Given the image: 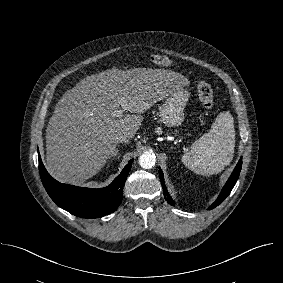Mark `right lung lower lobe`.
Masks as SVG:
<instances>
[{"instance_id": "98d812e1", "label": "right lung lower lobe", "mask_w": 283, "mask_h": 283, "mask_svg": "<svg viewBox=\"0 0 283 283\" xmlns=\"http://www.w3.org/2000/svg\"><path fill=\"white\" fill-rule=\"evenodd\" d=\"M133 159L107 187L91 189L62 184L49 175L39 155L42 183L51 199L62 209L81 218H100L114 212L122 200L123 187Z\"/></svg>"}]
</instances>
